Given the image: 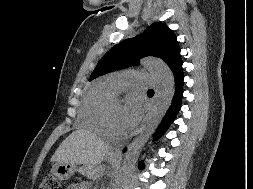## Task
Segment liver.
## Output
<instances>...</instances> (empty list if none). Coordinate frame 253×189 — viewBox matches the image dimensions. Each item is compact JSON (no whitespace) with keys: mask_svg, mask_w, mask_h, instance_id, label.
Here are the masks:
<instances>
[{"mask_svg":"<svg viewBox=\"0 0 253 189\" xmlns=\"http://www.w3.org/2000/svg\"><path fill=\"white\" fill-rule=\"evenodd\" d=\"M109 152V147L97 135L78 129L60 144L51 162L83 164L88 175L97 177L101 174L98 165Z\"/></svg>","mask_w":253,"mask_h":189,"instance_id":"liver-1","label":"liver"}]
</instances>
